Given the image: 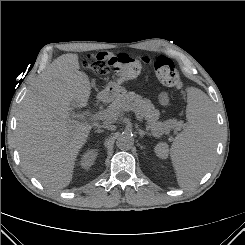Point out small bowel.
Segmentation results:
<instances>
[{"mask_svg": "<svg viewBox=\"0 0 245 245\" xmlns=\"http://www.w3.org/2000/svg\"><path fill=\"white\" fill-rule=\"evenodd\" d=\"M107 56H114L115 54H105ZM160 102L162 105H167L169 103L168 97L166 94L160 95Z\"/></svg>", "mask_w": 245, "mask_h": 245, "instance_id": "small-bowel-1", "label": "small bowel"}]
</instances>
